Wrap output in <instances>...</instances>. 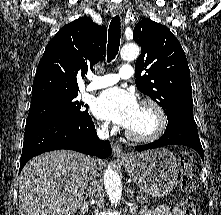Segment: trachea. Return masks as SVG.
<instances>
[{
    "mask_svg": "<svg viewBox=\"0 0 221 215\" xmlns=\"http://www.w3.org/2000/svg\"><path fill=\"white\" fill-rule=\"evenodd\" d=\"M120 17L116 15L112 18L109 25L108 32V50H107V61L111 62L117 55L120 45Z\"/></svg>",
    "mask_w": 221,
    "mask_h": 215,
    "instance_id": "3493384b",
    "label": "trachea"
}]
</instances>
